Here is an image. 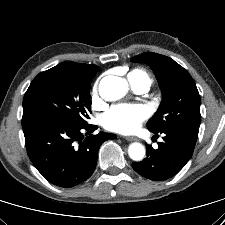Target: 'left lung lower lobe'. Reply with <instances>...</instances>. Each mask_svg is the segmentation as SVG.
I'll return each instance as SVG.
<instances>
[{"mask_svg":"<svg viewBox=\"0 0 225 225\" xmlns=\"http://www.w3.org/2000/svg\"><path fill=\"white\" fill-rule=\"evenodd\" d=\"M154 134H162L163 142L158 143V149L147 145V157L140 162H133L132 167L145 178L162 181L176 175L189 161L198 134L174 128Z\"/></svg>","mask_w":225,"mask_h":225,"instance_id":"0a47b994","label":"left lung lower lobe"}]
</instances>
